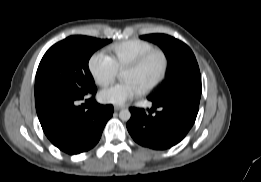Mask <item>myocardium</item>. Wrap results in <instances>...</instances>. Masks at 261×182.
<instances>
[{
  "label": "myocardium",
  "instance_id": "f54148a6",
  "mask_svg": "<svg viewBox=\"0 0 261 182\" xmlns=\"http://www.w3.org/2000/svg\"><path fill=\"white\" fill-rule=\"evenodd\" d=\"M154 55L160 56V58L162 60V68H161V71H160L159 75L157 76V78L153 82H151L149 85H147L143 89V92H150L151 90L156 88L164 80V78L166 77V74L168 72V67H169V60H168V57H167L166 53L163 50L159 49V48H153V49L143 53L139 57H137L135 60L130 62L128 65H126L125 68L123 69V71L138 69L149 58H151Z\"/></svg>",
  "mask_w": 261,
  "mask_h": 182
}]
</instances>
